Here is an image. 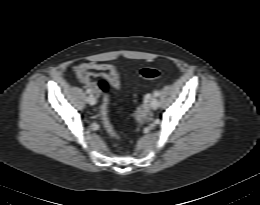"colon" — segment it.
<instances>
[{
	"instance_id": "1",
	"label": "colon",
	"mask_w": 260,
	"mask_h": 205,
	"mask_svg": "<svg viewBox=\"0 0 260 205\" xmlns=\"http://www.w3.org/2000/svg\"><path fill=\"white\" fill-rule=\"evenodd\" d=\"M163 73L160 69L154 68V67H147L143 68L140 70V76L141 78L145 80H157L162 77ZM99 91L104 95V99L101 103L100 107V112H101V119L103 126L107 133L114 139H118V135L116 131L114 130L109 116H108V109H109V103L107 99V94L109 93L111 87H112V82L109 78L107 77H101L97 83H96Z\"/></svg>"
}]
</instances>
